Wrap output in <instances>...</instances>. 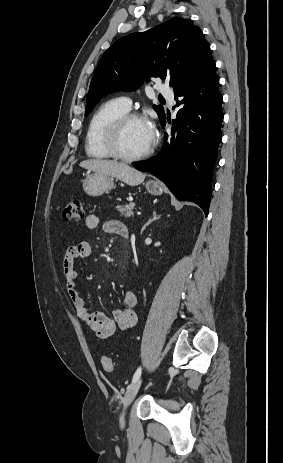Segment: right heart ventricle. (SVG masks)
I'll use <instances>...</instances> for the list:
<instances>
[{"label": "right heart ventricle", "instance_id": "right-heart-ventricle-1", "mask_svg": "<svg viewBox=\"0 0 283 463\" xmlns=\"http://www.w3.org/2000/svg\"><path fill=\"white\" fill-rule=\"evenodd\" d=\"M129 111L121 99H111L103 103L90 119L86 137V154L94 159H108L110 154L104 146V134L110 123Z\"/></svg>", "mask_w": 283, "mask_h": 463}]
</instances>
